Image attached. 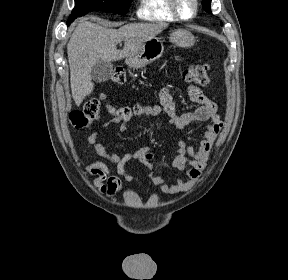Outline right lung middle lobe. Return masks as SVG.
I'll return each mask as SVG.
<instances>
[{
    "label": "right lung middle lobe",
    "mask_w": 288,
    "mask_h": 280,
    "mask_svg": "<svg viewBox=\"0 0 288 280\" xmlns=\"http://www.w3.org/2000/svg\"><path fill=\"white\" fill-rule=\"evenodd\" d=\"M130 3L131 0H75V7L68 21L95 10L124 15L128 12Z\"/></svg>",
    "instance_id": "dd1d6c3e"
}]
</instances>
